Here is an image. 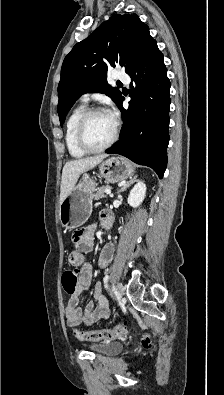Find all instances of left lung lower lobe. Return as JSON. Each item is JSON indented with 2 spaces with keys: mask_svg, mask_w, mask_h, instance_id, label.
<instances>
[{
  "mask_svg": "<svg viewBox=\"0 0 224 395\" xmlns=\"http://www.w3.org/2000/svg\"><path fill=\"white\" fill-rule=\"evenodd\" d=\"M127 74L134 81L129 108H123L121 96L117 103L124 122L121 138L106 153H117L149 166L162 178L169 143L170 82L156 41L146 48Z\"/></svg>",
  "mask_w": 224,
  "mask_h": 395,
  "instance_id": "1",
  "label": "left lung lower lobe"
}]
</instances>
